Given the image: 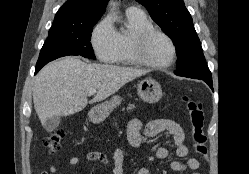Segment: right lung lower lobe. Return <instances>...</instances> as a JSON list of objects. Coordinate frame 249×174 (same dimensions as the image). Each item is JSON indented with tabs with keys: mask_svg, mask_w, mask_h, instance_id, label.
<instances>
[{
	"mask_svg": "<svg viewBox=\"0 0 249 174\" xmlns=\"http://www.w3.org/2000/svg\"><path fill=\"white\" fill-rule=\"evenodd\" d=\"M42 67H36L35 74L41 69Z\"/></svg>",
	"mask_w": 249,
	"mask_h": 174,
	"instance_id": "1",
	"label": "right lung lower lobe"
}]
</instances>
